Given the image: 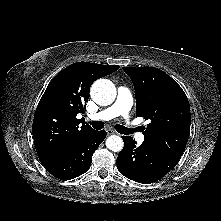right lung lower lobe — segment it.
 Returning a JSON list of instances; mask_svg holds the SVG:
<instances>
[{
	"label": "right lung lower lobe",
	"mask_w": 221,
	"mask_h": 221,
	"mask_svg": "<svg viewBox=\"0 0 221 221\" xmlns=\"http://www.w3.org/2000/svg\"><path fill=\"white\" fill-rule=\"evenodd\" d=\"M105 137V130H93L64 155L43 166L50 174L58 179L69 180L76 178L88 171L91 165L92 155Z\"/></svg>",
	"instance_id": "1"
}]
</instances>
